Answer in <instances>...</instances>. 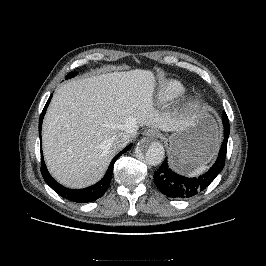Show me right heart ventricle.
Listing matches in <instances>:
<instances>
[{"mask_svg": "<svg viewBox=\"0 0 266 266\" xmlns=\"http://www.w3.org/2000/svg\"><path fill=\"white\" fill-rule=\"evenodd\" d=\"M186 91L185 85L176 79H163L160 81L156 99L161 103H167L179 98Z\"/></svg>", "mask_w": 266, "mask_h": 266, "instance_id": "right-heart-ventricle-1", "label": "right heart ventricle"}]
</instances>
